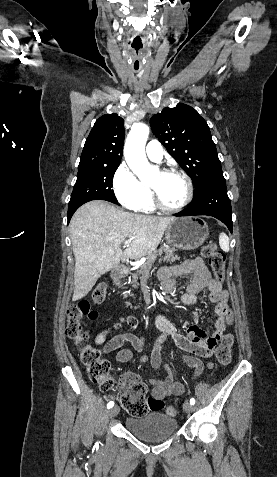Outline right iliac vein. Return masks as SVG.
<instances>
[{"label": "right iliac vein", "instance_id": "obj_1", "mask_svg": "<svg viewBox=\"0 0 277 477\" xmlns=\"http://www.w3.org/2000/svg\"><path fill=\"white\" fill-rule=\"evenodd\" d=\"M119 413V407L115 406L109 411V417L113 418Z\"/></svg>", "mask_w": 277, "mask_h": 477}]
</instances>
